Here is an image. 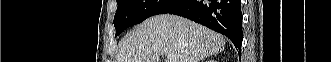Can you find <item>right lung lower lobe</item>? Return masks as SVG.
<instances>
[{"label": "right lung lower lobe", "mask_w": 331, "mask_h": 62, "mask_svg": "<svg viewBox=\"0 0 331 62\" xmlns=\"http://www.w3.org/2000/svg\"><path fill=\"white\" fill-rule=\"evenodd\" d=\"M164 13L188 18L227 36L240 53L243 18L241 0H179Z\"/></svg>", "instance_id": "right-lung-lower-lobe-1"}]
</instances>
